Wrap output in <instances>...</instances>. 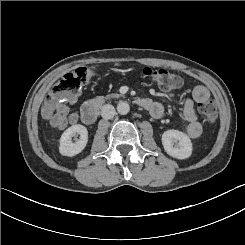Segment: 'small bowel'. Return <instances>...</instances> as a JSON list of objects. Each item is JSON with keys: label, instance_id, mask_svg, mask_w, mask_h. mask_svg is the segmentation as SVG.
<instances>
[{"label": "small bowel", "instance_id": "1", "mask_svg": "<svg viewBox=\"0 0 245 245\" xmlns=\"http://www.w3.org/2000/svg\"><path fill=\"white\" fill-rule=\"evenodd\" d=\"M209 99V91L206 87L198 85L193 89L192 97L187 98L182 104V117L185 120L184 130L191 138H197L202 133V126L198 120L195 103H201ZM75 101V97L64 101L57 107L56 113L51 117L50 124L59 130L68 125L77 123L78 114L70 110L69 104ZM151 115L159 118L163 115L164 107L159 102L152 101V107L148 109Z\"/></svg>", "mask_w": 245, "mask_h": 245}]
</instances>
